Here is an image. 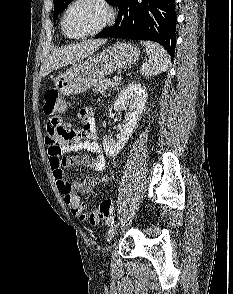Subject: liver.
Returning a JSON list of instances; mask_svg holds the SVG:
<instances>
[{
	"mask_svg": "<svg viewBox=\"0 0 233 294\" xmlns=\"http://www.w3.org/2000/svg\"><path fill=\"white\" fill-rule=\"evenodd\" d=\"M104 40L87 41L76 45H70L52 53L41 67V76H46L53 70L78 62L92 55Z\"/></svg>",
	"mask_w": 233,
	"mask_h": 294,
	"instance_id": "liver-1",
	"label": "liver"
}]
</instances>
